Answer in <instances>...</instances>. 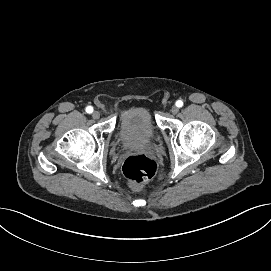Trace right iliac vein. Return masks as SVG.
<instances>
[{"label":"right iliac vein","instance_id":"obj_1","mask_svg":"<svg viewBox=\"0 0 271 271\" xmlns=\"http://www.w3.org/2000/svg\"><path fill=\"white\" fill-rule=\"evenodd\" d=\"M92 117L94 119H98L100 117V113L98 111H94V112H92Z\"/></svg>","mask_w":271,"mask_h":271}]
</instances>
